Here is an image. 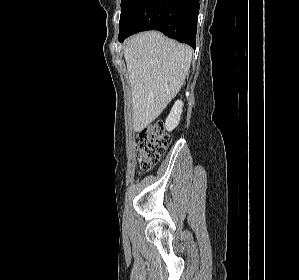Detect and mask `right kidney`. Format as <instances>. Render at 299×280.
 <instances>
[{"instance_id":"1","label":"right kidney","mask_w":299,"mask_h":280,"mask_svg":"<svg viewBox=\"0 0 299 280\" xmlns=\"http://www.w3.org/2000/svg\"><path fill=\"white\" fill-rule=\"evenodd\" d=\"M182 108L183 102L181 100L176 101L166 119V130L172 131L178 126L182 114Z\"/></svg>"}]
</instances>
